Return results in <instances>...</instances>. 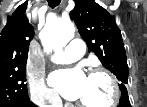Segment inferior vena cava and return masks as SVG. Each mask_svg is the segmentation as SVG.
Segmentation results:
<instances>
[{"label":"inferior vena cava","mask_w":147,"mask_h":107,"mask_svg":"<svg viewBox=\"0 0 147 107\" xmlns=\"http://www.w3.org/2000/svg\"><path fill=\"white\" fill-rule=\"evenodd\" d=\"M56 107H62V101L61 100L57 101V106Z\"/></svg>","instance_id":"1"}]
</instances>
